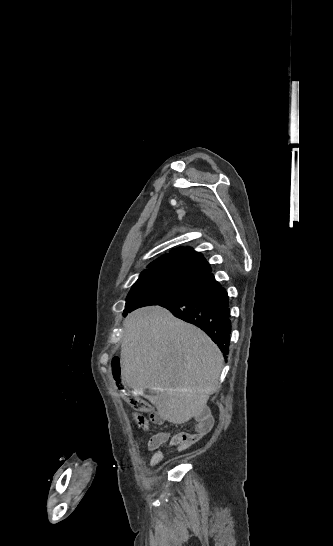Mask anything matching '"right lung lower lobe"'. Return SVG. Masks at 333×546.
<instances>
[{
    "label": "right lung lower lobe",
    "instance_id": "98d812e1",
    "mask_svg": "<svg viewBox=\"0 0 333 546\" xmlns=\"http://www.w3.org/2000/svg\"><path fill=\"white\" fill-rule=\"evenodd\" d=\"M157 305L200 327L227 358L231 333L229 299L226 290L214 279L213 274L206 276L195 290Z\"/></svg>",
    "mask_w": 333,
    "mask_h": 546
}]
</instances>
